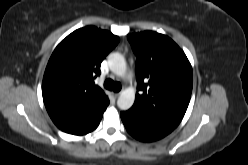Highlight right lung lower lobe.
Instances as JSON below:
<instances>
[{
    "label": "right lung lower lobe",
    "instance_id": "98d812e1",
    "mask_svg": "<svg viewBox=\"0 0 248 165\" xmlns=\"http://www.w3.org/2000/svg\"><path fill=\"white\" fill-rule=\"evenodd\" d=\"M102 116H100L94 123H92L91 125L83 128L82 130L74 133V135H85L91 131H93L94 129L97 128V126L99 125V122L101 120Z\"/></svg>",
    "mask_w": 248,
    "mask_h": 165
}]
</instances>
